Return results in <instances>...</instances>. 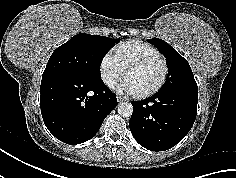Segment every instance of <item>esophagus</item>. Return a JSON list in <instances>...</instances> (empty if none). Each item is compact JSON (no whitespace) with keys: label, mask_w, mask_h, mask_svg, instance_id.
Here are the masks:
<instances>
[{"label":"esophagus","mask_w":236,"mask_h":178,"mask_svg":"<svg viewBox=\"0 0 236 178\" xmlns=\"http://www.w3.org/2000/svg\"><path fill=\"white\" fill-rule=\"evenodd\" d=\"M117 101H118V102H123V101H125V100H124L122 97L118 96V97H117Z\"/></svg>","instance_id":"1"}]
</instances>
